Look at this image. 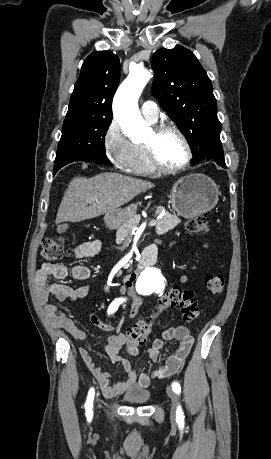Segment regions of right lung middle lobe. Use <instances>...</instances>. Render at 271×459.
<instances>
[{
  "label": "right lung middle lobe",
  "mask_w": 271,
  "mask_h": 459,
  "mask_svg": "<svg viewBox=\"0 0 271 459\" xmlns=\"http://www.w3.org/2000/svg\"><path fill=\"white\" fill-rule=\"evenodd\" d=\"M112 116L66 115L55 164L72 157H89L109 163L105 154V135Z\"/></svg>",
  "instance_id": "right-lung-middle-lobe-1"
}]
</instances>
